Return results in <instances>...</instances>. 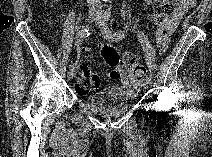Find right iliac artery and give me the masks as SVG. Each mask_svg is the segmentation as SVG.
I'll return each instance as SVG.
<instances>
[{
	"label": "right iliac artery",
	"instance_id": "82829eb1",
	"mask_svg": "<svg viewBox=\"0 0 212 157\" xmlns=\"http://www.w3.org/2000/svg\"><path fill=\"white\" fill-rule=\"evenodd\" d=\"M89 35H90V32H89L88 29H81V30H79V31L77 32L76 38H77V39H83V38H85V37H88ZM69 69H70V70H74V66L70 65V66H69Z\"/></svg>",
	"mask_w": 212,
	"mask_h": 157
}]
</instances>
